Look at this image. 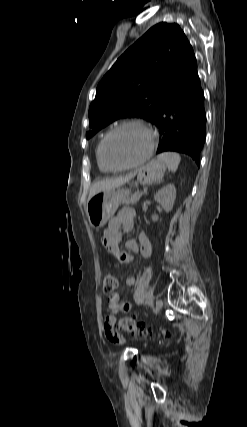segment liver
Listing matches in <instances>:
<instances>
[{
    "instance_id": "6515ba94",
    "label": "liver",
    "mask_w": 247,
    "mask_h": 427,
    "mask_svg": "<svg viewBox=\"0 0 247 427\" xmlns=\"http://www.w3.org/2000/svg\"><path fill=\"white\" fill-rule=\"evenodd\" d=\"M134 176H135V173H131L125 177H119L115 179H106V180H102L94 183L90 188L88 200L99 191L118 188L119 186L131 180Z\"/></svg>"
}]
</instances>
